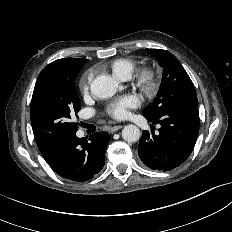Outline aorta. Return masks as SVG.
<instances>
[{
  "label": "aorta",
  "mask_w": 232,
  "mask_h": 232,
  "mask_svg": "<svg viewBox=\"0 0 232 232\" xmlns=\"http://www.w3.org/2000/svg\"><path fill=\"white\" fill-rule=\"evenodd\" d=\"M117 88L118 83L108 75L96 77L90 86L92 95L102 99L112 97L116 93ZM140 136V129L136 125L129 124L122 130V138L127 142H137Z\"/></svg>",
  "instance_id": "aorta-1"
}]
</instances>
